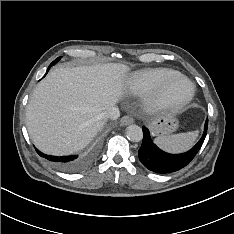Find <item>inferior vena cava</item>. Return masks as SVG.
<instances>
[{"label": "inferior vena cava", "mask_w": 234, "mask_h": 234, "mask_svg": "<svg viewBox=\"0 0 234 234\" xmlns=\"http://www.w3.org/2000/svg\"><path fill=\"white\" fill-rule=\"evenodd\" d=\"M120 116V111L117 107H110L100 114V118L106 120H116Z\"/></svg>", "instance_id": "1"}]
</instances>
